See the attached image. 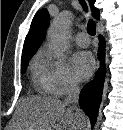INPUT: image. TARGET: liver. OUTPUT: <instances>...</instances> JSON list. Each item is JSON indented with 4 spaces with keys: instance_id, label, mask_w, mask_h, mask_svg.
<instances>
[{
    "instance_id": "1",
    "label": "liver",
    "mask_w": 123,
    "mask_h": 130,
    "mask_svg": "<svg viewBox=\"0 0 123 130\" xmlns=\"http://www.w3.org/2000/svg\"><path fill=\"white\" fill-rule=\"evenodd\" d=\"M66 106L56 98L28 96L19 103L8 130H81L84 114Z\"/></svg>"
}]
</instances>
